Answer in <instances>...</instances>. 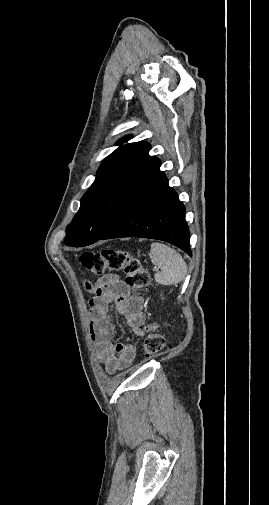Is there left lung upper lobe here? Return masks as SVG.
<instances>
[{"mask_svg": "<svg viewBox=\"0 0 269 505\" xmlns=\"http://www.w3.org/2000/svg\"><path fill=\"white\" fill-rule=\"evenodd\" d=\"M131 136L117 142L118 149L102 162L94 183L81 199V206L67 227L65 244L82 247L98 241L112 227L130 200L151 156L150 145Z\"/></svg>", "mask_w": 269, "mask_h": 505, "instance_id": "1", "label": "left lung upper lobe"}]
</instances>
